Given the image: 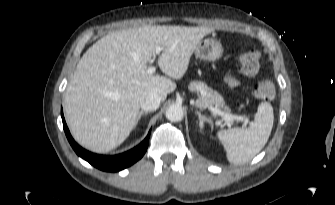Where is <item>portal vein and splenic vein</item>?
<instances>
[{"instance_id": "1", "label": "portal vein and splenic vein", "mask_w": 335, "mask_h": 205, "mask_svg": "<svg viewBox=\"0 0 335 205\" xmlns=\"http://www.w3.org/2000/svg\"><path fill=\"white\" fill-rule=\"evenodd\" d=\"M162 48L161 47H156L155 49V54H160ZM156 71V68L154 66H150L148 67L147 69V72L149 74H154ZM207 108L214 114V115H218V116H221L223 118V120L225 121V123L227 124V126H231L232 123L236 120V121H243L244 124L246 125L248 123V120L246 119L245 116H235V115H232V114H228V113H225L221 110H219L218 108L216 107H213V106H207Z\"/></svg>"}]
</instances>
